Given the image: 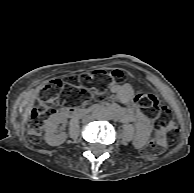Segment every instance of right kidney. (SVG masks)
<instances>
[{
	"instance_id": "obj_1",
	"label": "right kidney",
	"mask_w": 194,
	"mask_h": 193,
	"mask_svg": "<svg viewBox=\"0 0 194 193\" xmlns=\"http://www.w3.org/2000/svg\"><path fill=\"white\" fill-rule=\"evenodd\" d=\"M62 123L59 116L51 115L45 125V141L51 146H58L65 142L67 135L65 132L57 133L58 125Z\"/></svg>"
}]
</instances>
